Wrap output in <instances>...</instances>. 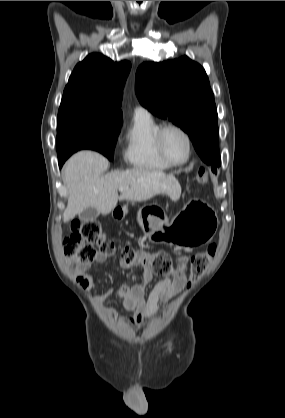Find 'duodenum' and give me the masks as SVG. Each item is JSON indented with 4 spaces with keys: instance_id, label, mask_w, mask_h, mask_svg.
I'll list each match as a JSON object with an SVG mask.
<instances>
[{
    "instance_id": "obj_1",
    "label": "duodenum",
    "mask_w": 285,
    "mask_h": 418,
    "mask_svg": "<svg viewBox=\"0 0 285 418\" xmlns=\"http://www.w3.org/2000/svg\"><path fill=\"white\" fill-rule=\"evenodd\" d=\"M113 215L116 220H121L123 218V214L119 212L118 208L113 209Z\"/></svg>"
}]
</instances>
